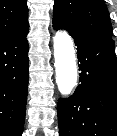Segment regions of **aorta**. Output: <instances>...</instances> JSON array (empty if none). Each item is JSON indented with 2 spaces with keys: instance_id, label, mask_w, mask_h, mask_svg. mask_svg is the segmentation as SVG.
Here are the masks:
<instances>
[{
  "instance_id": "762f6f07",
  "label": "aorta",
  "mask_w": 117,
  "mask_h": 136,
  "mask_svg": "<svg viewBox=\"0 0 117 136\" xmlns=\"http://www.w3.org/2000/svg\"><path fill=\"white\" fill-rule=\"evenodd\" d=\"M56 83L63 96L71 94L77 84V65L72 37L63 30L53 37Z\"/></svg>"
}]
</instances>
